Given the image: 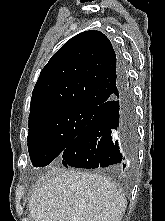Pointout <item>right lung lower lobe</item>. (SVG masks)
<instances>
[{
    "label": "right lung lower lobe",
    "mask_w": 165,
    "mask_h": 221,
    "mask_svg": "<svg viewBox=\"0 0 165 221\" xmlns=\"http://www.w3.org/2000/svg\"><path fill=\"white\" fill-rule=\"evenodd\" d=\"M119 81L117 91L96 108L91 121L61 154L66 168L129 171L137 140L136 118L133 94L122 69Z\"/></svg>",
    "instance_id": "1"
}]
</instances>
